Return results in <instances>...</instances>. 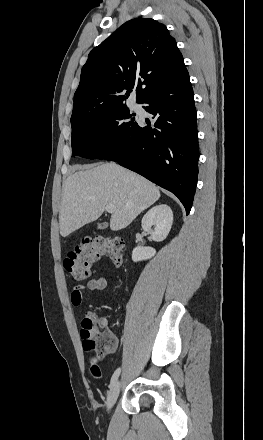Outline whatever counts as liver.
Returning a JSON list of instances; mask_svg holds the SVG:
<instances>
[{
	"instance_id": "liver-1",
	"label": "liver",
	"mask_w": 263,
	"mask_h": 440,
	"mask_svg": "<svg viewBox=\"0 0 263 440\" xmlns=\"http://www.w3.org/2000/svg\"><path fill=\"white\" fill-rule=\"evenodd\" d=\"M159 198L160 191L152 182L116 163L80 166L64 185L60 234L66 237L97 220L108 204L115 206L110 229H124Z\"/></svg>"
}]
</instances>
